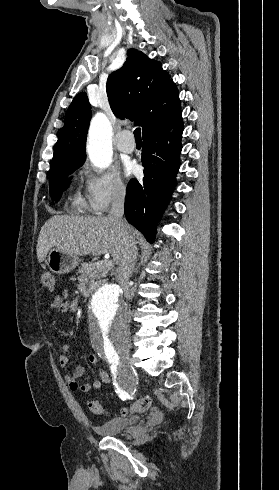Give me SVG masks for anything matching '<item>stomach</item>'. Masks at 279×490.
<instances>
[{
	"instance_id": "1",
	"label": "stomach",
	"mask_w": 279,
	"mask_h": 490,
	"mask_svg": "<svg viewBox=\"0 0 279 490\" xmlns=\"http://www.w3.org/2000/svg\"><path fill=\"white\" fill-rule=\"evenodd\" d=\"M46 264L53 274L62 276V274H68V272H71V270H74L78 266L79 258L75 254H68L64 250L54 248V250L49 252Z\"/></svg>"
}]
</instances>
